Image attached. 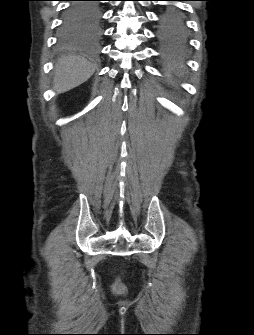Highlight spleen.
Returning <instances> with one entry per match:
<instances>
[{
    "label": "spleen",
    "instance_id": "obj_1",
    "mask_svg": "<svg viewBox=\"0 0 254 335\" xmlns=\"http://www.w3.org/2000/svg\"><path fill=\"white\" fill-rule=\"evenodd\" d=\"M169 67H170L171 69L176 70L177 64H176L175 62H171V63L169 64Z\"/></svg>",
    "mask_w": 254,
    "mask_h": 335
}]
</instances>
